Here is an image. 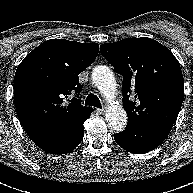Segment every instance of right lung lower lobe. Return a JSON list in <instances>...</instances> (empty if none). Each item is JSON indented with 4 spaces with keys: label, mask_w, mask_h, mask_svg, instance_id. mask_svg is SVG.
Wrapping results in <instances>:
<instances>
[{
    "label": "right lung lower lobe",
    "mask_w": 193,
    "mask_h": 193,
    "mask_svg": "<svg viewBox=\"0 0 193 193\" xmlns=\"http://www.w3.org/2000/svg\"><path fill=\"white\" fill-rule=\"evenodd\" d=\"M92 112L60 128L30 134L29 137L38 147L46 152L66 154L75 149L82 141L84 136V122L90 117Z\"/></svg>",
    "instance_id": "98d812e1"
}]
</instances>
